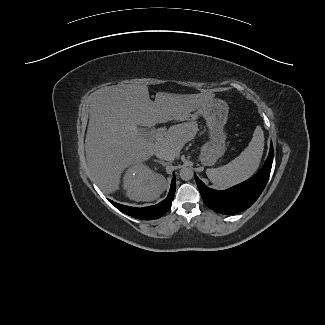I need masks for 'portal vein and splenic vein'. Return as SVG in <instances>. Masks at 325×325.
<instances>
[{"instance_id":"1","label":"portal vein and splenic vein","mask_w":325,"mask_h":325,"mask_svg":"<svg viewBox=\"0 0 325 325\" xmlns=\"http://www.w3.org/2000/svg\"><path fill=\"white\" fill-rule=\"evenodd\" d=\"M154 137H155L156 140H162L163 137H164V133L163 132H157Z\"/></svg>"}]
</instances>
